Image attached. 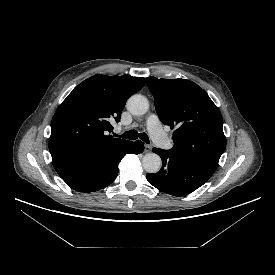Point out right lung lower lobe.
<instances>
[{
	"instance_id": "obj_1",
	"label": "right lung lower lobe",
	"mask_w": 275,
	"mask_h": 275,
	"mask_svg": "<svg viewBox=\"0 0 275 275\" xmlns=\"http://www.w3.org/2000/svg\"><path fill=\"white\" fill-rule=\"evenodd\" d=\"M144 150L140 140L131 142L122 151L108 161L88 170L68 175L62 179L74 190L94 192L111 184L118 175V164L128 153L139 154Z\"/></svg>"
}]
</instances>
